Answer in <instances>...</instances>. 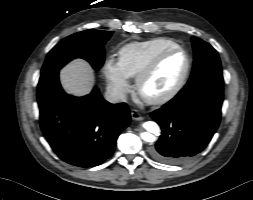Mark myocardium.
Segmentation results:
<instances>
[{
    "label": "myocardium",
    "mask_w": 253,
    "mask_h": 200,
    "mask_svg": "<svg viewBox=\"0 0 253 200\" xmlns=\"http://www.w3.org/2000/svg\"><path fill=\"white\" fill-rule=\"evenodd\" d=\"M174 52H181L185 55L186 58V66L185 69L179 78V80L176 82V84L166 93L156 96V97H149L146 96L143 92V85L145 81L151 76V74L156 70V68L159 66L161 61L168 55L174 53ZM191 58L188 52L180 47H172L165 49L158 53L136 76V91L139 94V96L148 104L150 105H160L168 102L172 98H174L178 92L182 89L184 84L186 83L188 76L190 74L191 70Z\"/></svg>",
    "instance_id": "obj_1"
}]
</instances>
